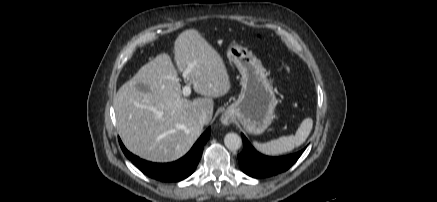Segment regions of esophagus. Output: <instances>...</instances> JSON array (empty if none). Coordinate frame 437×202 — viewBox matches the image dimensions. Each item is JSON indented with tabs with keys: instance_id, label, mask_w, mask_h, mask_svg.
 <instances>
[{
	"instance_id": "obj_1",
	"label": "esophagus",
	"mask_w": 437,
	"mask_h": 202,
	"mask_svg": "<svg viewBox=\"0 0 437 202\" xmlns=\"http://www.w3.org/2000/svg\"><path fill=\"white\" fill-rule=\"evenodd\" d=\"M230 121H231V117H230V115H228V114H224V115H222V117H221V122H222L223 124L228 125V124L230 123Z\"/></svg>"
}]
</instances>
